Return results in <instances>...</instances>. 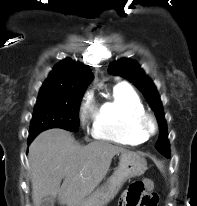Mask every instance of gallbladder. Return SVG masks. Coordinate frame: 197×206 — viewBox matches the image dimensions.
Returning a JSON list of instances; mask_svg holds the SVG:
<instances>
[{
	"instance_id": "obj_1",
	"label": "gallbladder",
	"mask_w": 197,
	"mask_h": 206,
	"mask_svg": "<svg viewBox=\"0 0 197 206\" xmlns=\"http://www.w3.org/2000/svg\"><path fill=\"white\" fill-rule=\"evenodd\" d=\"M54 203V198L47 197L42 201L41 206H54Z\"/></svg>"
}]
</instances>
